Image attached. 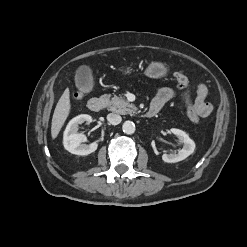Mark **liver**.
I'll return each instance as SVG.
<instances>
[{
  "label": "liver",
  "instance_id": "liver-1",
  "mask_svg": "<svg viewBox=\"0 0 247 247\" xmlns=\"http://www.w3.org/2000/svg\"><path fill=\"white\" fill-rule=\"evenodd\" d=\"M70 109V92L67 88L60 97L52 117L51 136L53 139L58 136L64 122L70 113Z\"/></svg>",
  "mask_w": 247,
  "mask_h": 247
}]
</instances>
